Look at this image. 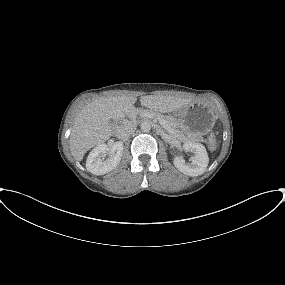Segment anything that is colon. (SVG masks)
<instances>
[{
	"label": "colon",
	"instance_id": "5ec220e1",
	"mask_svg": "<svg viewBox=\"0 0 285 285\" xmlns=\"http://www.w3.org/2000/svg\"><path fill=\"white\" fill-rule=\"evenodd\" d=\"M208 142H209V146H210V147H212V148L215 147L216 140H215V135H214V133H211V134L209 135Z\"/></svg>",
	"mask_w": 285,
	"mask_h": 285
}]
</instances>
